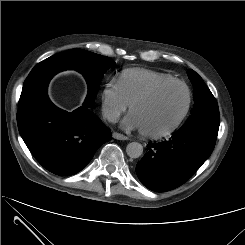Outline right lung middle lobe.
<instances>
[{
    "instance_id": "right-lung-middle-lobe-1",
    "label": "right lung middle lobe",
    "mask_w": 245,
    "mask_h": 245,
    "mask_svg": "<svg viewBox=\"0 0 245 245\" xmlns=\"http://www.w3.org/2000/svg\"><path fill=\"white\" fill-rule=\"evenodd\" d=\"M49 58L52 66L61 71L74 69L84 75L89 88L88 96L83 105L87 108L92 107L94 104L105 71L115 64V62L108 57L78 48L56 54ZM46 95V90L42 94L36 91L31 85L24 82L18 104V111L26 110L33 103Z\"/></svg>"
}]
</instances>
